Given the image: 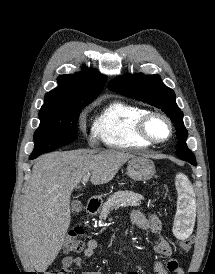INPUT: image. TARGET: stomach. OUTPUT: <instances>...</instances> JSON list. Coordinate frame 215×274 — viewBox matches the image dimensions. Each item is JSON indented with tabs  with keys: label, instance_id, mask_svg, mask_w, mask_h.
<instances>
[{
	"label": "stomach",
	"instance_id": "stomach-1",
	"mask_svg": "<svg viewBox=\"0 0 215 274\" xmlns=\"http://www.w3.org/2000/svg\"><path fill=\"white\" fill-rule=\"evenodd\" d=\"M155 173L154 163L144 157H132L127 164V175L134 181H147Z\"/></svg>",
	"mask_w": 215,
	"mask_h": 274
}]
</instances>
